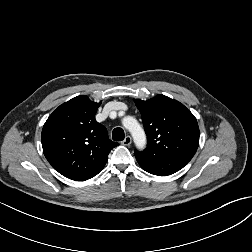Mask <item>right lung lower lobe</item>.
I'll use <instances>...</instances> for the list:
<instances>
[{"label": "right lung lower lobe", "instance_id": "1", "mask_svg": "<svg viewBox=\"0 0 252 252\" xmlns=\"http://www.w3.org/2000/svg\"><path fill=\"white\" fill-rule=\"evenodd\" d=\"M100 171H101V170H100ZM100 171H98V172H96V173H94V174L85 176V177H83V178H80V179H78L77 181H84V180L90 179V178L94 177L95 175H97Z\"/></svg>", "mask_w": 252, "mask_h": 252}]
</instances>
